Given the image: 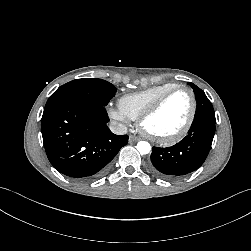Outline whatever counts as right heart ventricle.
Returning a JSON list of instances; mask_svg holds the SVG:
<instances>
[{
	"mask_svg": "<svg viewBox=\"0 0 251 251\" xmlns=\"http://www.w3.org/2000/svg\"><path fill=\"white\" fill-rule=\"evenodd\" d=\"M174 86H176L174 83H164L139 92L123 95L118 100V106L129 119L137 120L163 93Z\"/></svg>",
	"mask_w": 251,
	"mask_h": 251,
	"instance_id": "right-heart-ventricle-1",
	"label": "right heart ventricle"
}]
</instances>
